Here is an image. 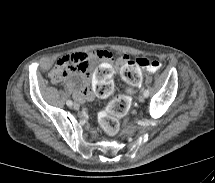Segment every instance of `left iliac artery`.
I'll return each instance as SVG.
<instances>
[{
  "label": "left iliac artery",
  "mask_w": 215,
  "mask_h": 183,
  "mask_svg": "<svg viewBox=\"0 0 215 183\" xmlns=\"http://www.w3.org/2000/svg\"><path fill=\"white\" fill-rule=\"evenodd\" d=\"M143 94H144L145 97H148L149 96V91L148 90H144Z\"/></svg>",
  "instance_id": "left-iliac-artery-1"
}]
</instances>
